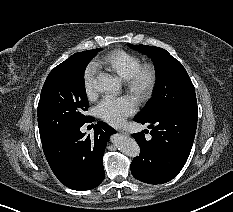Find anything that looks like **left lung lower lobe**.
<instances>
[{
	"instance_id": "left-lung-lower-lobe-1",
	"label": "left lung lower lobe",
	"mask_w": 233,
	"mask_h": 212,
	"mask_svg": "<svg viewBox=\"0 0 233 212\" xmlns=\"http://www.w3.org/2000/svg\"><path fill=\"white\" fill-rule=\"evenodd\" d=\"M198 114L177 109L158 111L150 116L135 117L134 121L149 123L151 140L145 139L148 130L132 137L141 152L131 163L132 175L149 184H163L173 179L185 165L190 154Z\"/></svg>"
}]
</instances>
